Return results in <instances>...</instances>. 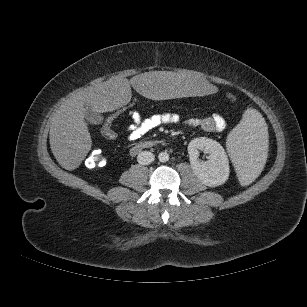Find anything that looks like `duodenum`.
<instances>
[{
  "label": "duodenum",
  "mask_w": 307,
  "mask_h": 307,
  "mask_svg": "<svg viewBox=\"0 0 307 307\" xmlns=\"http://www.w3.org/2000/svg\"><path fill=\"white\" fill-rule=\"evenodd\" d=\"M155 145H156V142H154L152 140H146V141H143V142H140V143L134 145L131 148V153L133 155H136L139 152H141L142 150L154 147Z\"/></svg>",
  "instance_id": "obj_1"
}]
</instances>
